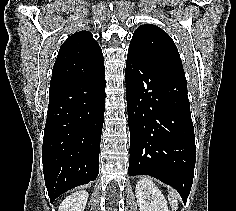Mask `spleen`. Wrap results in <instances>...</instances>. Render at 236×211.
Wrapping results in <instances>:
<instances>
[{
    "label": "spleen",
    "instance_id": "3e777b00",
    "mask_svg": "<svg viewBox=\"0 0 236 211\" xmlns=\"http://www.w3.org/2000/svg\"><path fill=\"white\" fill-rule=\"evenodd\" d=\"M178 198H179V194L175 190H172L169 193L168 200H169L172 210L176 211L178 209Z\"/></svg>",
    "mask_w": 236,
    "mask_h": 211
}]
</instances>
